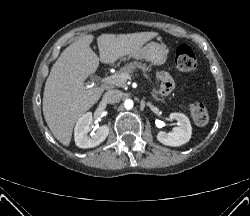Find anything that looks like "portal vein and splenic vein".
<instances>
[{"label":"portal vein and splenic vein","mask_w":250,"mask_h":216,"mask_svg":"<svg viewBox=\"0 0 250 216\" xmlns=\"http://www.w3.org/2000/svg\"><path fill=\"white\" fill-rule=\"evenodd\" d=\"M130 78L129 74H121V75H112L107 78H104L102 82L106 84H115L127 81Z\"/></svg>","instance_id":"obj_1"}]
</instances>
